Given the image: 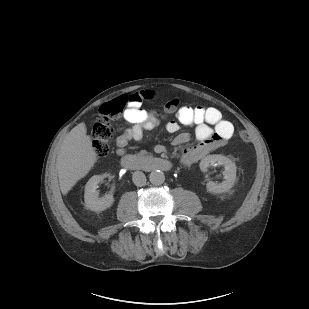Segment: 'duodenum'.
Here are the masks:
<instances>
[{"label":"duodenum","mask_w":309,"mask_h":309,"mask_svg":"<svg viewBox=\"0 0 309 309\" xmlns=\"http://www.w3.org/2000/svg\"><path fill=\"white\" fill-rule=\"evenodd\" d=\"M121 165L127 170H148L166 172L171 169L170 161L155 156H148L142 159H136L130 155H124L121 158Z\"/></svg>","instance_id":"410a0bca"}]
</instances>
